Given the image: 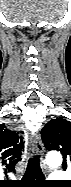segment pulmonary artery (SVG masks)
<instances>
[{"label":"pulmonary artery","instance_id":"e3ab8cb5","mask_svg":"<svg viewBox=\"0 0 71 187\" xmlns=\"http://www.w3.org/2000/svg\"><path fill=\"white\" fill-rule=\"evenodd\" d=\"M63 178V174L61 172H53L50 176V180H60Z\"/></svg>","mask_w":71,"mask_h":187}]
</instances>
